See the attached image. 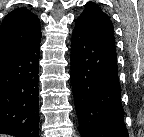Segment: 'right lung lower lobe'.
Wrapping results in <instances>:
<instances>
[{
  "instance_id": "98d812e1",
  "label": "right lung lower lobe",
  "mask_w": 144,
  "mask_h": 137,
  "mask_svg": "<svg viewBox=\"0 0 144 137\" xmlns=\"http://www.w3.org/2000/svg\"><path fill=\"white\" fill-rule=\"evenodd\" d=\"M41 35L0 57V133L39 137V51Z\"/></svg>"
}]
</instances>
